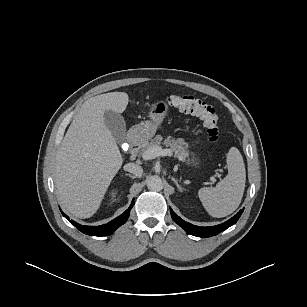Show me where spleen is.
Segmentation results:
<instances>
[{"label":"spleen","mask_w":307,"mask_h":307,"mask_svg":"<svg viewBox=\"0 0 307 307\" xmlns=\"http://www.w3.org/2000/svg\"><path fill=\"white\" fill-rule=\"evenodd\" d=\"M228 174L215 187H204L198 196L207 212L216 218L233 213L241 203L246 170L243 157L236 147L230 148L227 154Z\"/></svg>","instance_id":"spleen-1"}]
</instances>
